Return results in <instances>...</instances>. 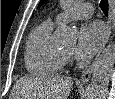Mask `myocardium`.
<instances>
[{"mask_svg": "<svg viewBox=\"0 0 115 99\" xmlns=\"http://www.w3.org/2000/svg\"><path fill=\"white\" fill-rule=\"evenodd\" d=\"M62 54H63V56L65 57V59H68V58L71 57V53H68V52L62 51Z\"/></svg>", "mask_w": 115, "mask_h": 99, "instance_id": "obj_1", "label": "myocardium"}]
</instances>
